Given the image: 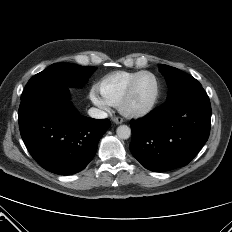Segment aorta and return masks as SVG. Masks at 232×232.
Here are the masks:
<instances>
[{
    "instance_id": "obj_1",
    "label": "aorta",
    "mask_w": 232,
    "mask_h": 232,
    "mask_svg": "<svg viewBox=\"0 0 232 232\" xmlns=\"http://www.w3.org/2000/svg\"><path fill=\"white\" fill-rule=\"evenodd\" d=\"M116 134L120 139H128L131 136V129L127 125H120L117 130Z\"/></svg>"
}]
</instances>
